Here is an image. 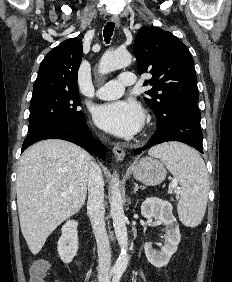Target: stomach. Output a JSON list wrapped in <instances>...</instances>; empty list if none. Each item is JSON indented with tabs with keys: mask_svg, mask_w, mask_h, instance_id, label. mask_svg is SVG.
Returning a JSON list of instances; mask_svg holds the SVG:
<instances>
[{
	"mask_svg": "<svg viewBox=\"0 0 232 282\" xmlns=\"http://www.w3.org/2000/svg\"><path fill=\"white\" fill-rule=\"evenodd\" d=\"M132 173L136 180L146 185L155 186L164 181L167 172L159 160L144 157L133 165Z\"/></svg>",
	"mask_w": 232,
	"mask_h": 282,
	"instance_id": "0dacf381",
	"label": "stomach"
}]
</instances>
